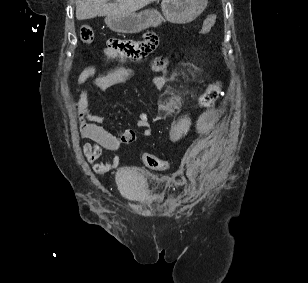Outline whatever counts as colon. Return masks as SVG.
Here are the masks:
<instances>
[{"instance_id": "5ec220e1", "label": "colon", "mask_w": 308, "mask_h": 283, "mask_svg": "<svg viewBox=\"0 0 308 283\" xmlns=\"http://www.w3.org/2000/svg\"><path fill=\"white\" fill-rule=\"evenodd\" d=\"M216 15H209L203 22L201 27V34L209 33L216 24ZM81 40L90 44L94 40V31L89 25H82L79 31ZM166 66V60L163 58H156L152 62V69L154 71H162ZM222 94V86L221 83L215 82L210 84L206 90L202 93L199 98V105L201 108H209L214 105V103L220 98ZM144 163L152 169H166L169 166V163L166 160L161 159L160 157L151 154L145 153L143 155Z\"/></svg>"}]
</instances>
